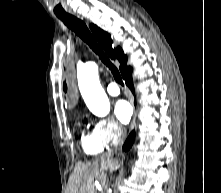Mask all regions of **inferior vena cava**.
<instances>
[{
    "instance_id": "1",
    "label": "inferior vena cava",
    "mask_w": 221,
    "mask_h": 193,
    "mask_svg": "<svg viewBox=\"0 0 221 193\" xmlns=\"http://www.w3.org/2000/svg\"><path fill=\"white\" fill-rule=\"evenodd\" d=\"M124 135H125V131L122 129V127L119 126L118 131H117V137L116 139L113 140L114 148H117L118 146L122 144Z\"/></svg>"
}]
</instances>
